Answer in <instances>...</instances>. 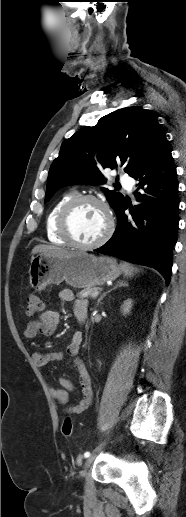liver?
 Returning a JSON list of instances; mask_svg holds the SVG:
<instances>
[{
	"label": "liver",
	"mask_w": 186,
	"mask_h": 517,
	"mask_svg": "<svg viewBox=\"0 0 186 517\" xmlns=\"http://www.w3.org/2000/svg\"><path fill=\"white\" fill-rule=\"evenodd\" d=\"M40 253L46 256H55L60 258L71 257L77 254L78 252L69 251L57 246L50 245H37L33 248L32 254Z\"/></svg>",
	"instance_id": "1"
}]
</instances>
